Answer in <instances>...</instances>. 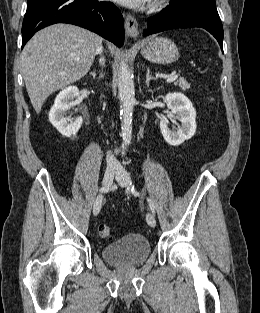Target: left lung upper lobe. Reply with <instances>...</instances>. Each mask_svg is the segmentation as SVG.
Wrapping results in <instances>:
<instances>
[{
  "label": "left lung upper lobe",
  "instance_id": "5c2ea615",
  "mask_svg": "<svg viewBox=\"0 0 260 313\" xmlns=\"http://www.w3.org/2000/svg\"><path fill=\"white\" fill-rule=\"evenodd\" d=\"M171 2L181 5H201L216 8L215 0H171Z\"/></svg>",
  "mask_w": 260,
  "mask_h": 313
}]
</instances>
